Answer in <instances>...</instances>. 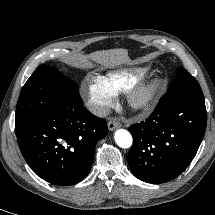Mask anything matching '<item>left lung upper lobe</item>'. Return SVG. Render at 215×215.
Listing matches in <instances>:
<instances>
[{"mask_svg": "<svg viewBox=\"0 0 215 215\" xmlns=\"http://www.w3.org/2000/svg\"><path fill=\"white\" fill-rule=\"evenodd\" d=\"M168 92L204 97L197 80L185 69L179 67Z\"/></svg>", "mask_w": 215, "mask_h": 215, "instance_id": "obj_1", "label": "left lung upper lobe"}]
</instances>
